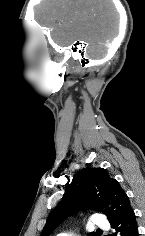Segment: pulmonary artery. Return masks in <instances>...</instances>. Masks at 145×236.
<instances>
[{
  "instance_id": "1",
  "label": "pulmonary artery",
  "mask_w": 145,
  "mask_h": 236,
  "mask_svg": "<svg viewBox=\"0 0 145 236\" xmlns=\"http://www.w3.org/2000/svg\"><path fill=\"white\" fill-rule=\"evenodd\" d=\"M90 225H91V226L101 227V228H106V226H107V220H106V218H105L103 215H101V214H94V215L91 217ZM59 236H71V234L62 233V234H60Z\"/></svg>"
}]
</instances>
